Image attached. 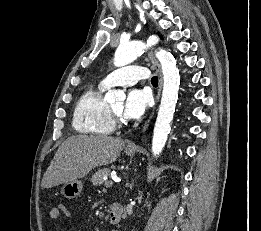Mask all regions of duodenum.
<instances>
[{"mask_svg":"<svg viewBox=\"0 0 261 231\" xmlns=\"http://www.w3.org/2000/svg\"><path fill=\"white\" fill-rule=\"evenodd\" d=\"M109 217L113 223L119 222L123 218V206L120 203H112L109 205Z\"/></svg>","mask_w":261,"mask_h":231,"instance_id":"1","label":"duodenum"}]
</instances>
